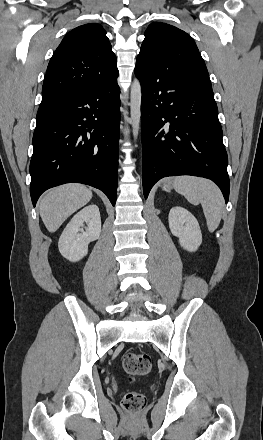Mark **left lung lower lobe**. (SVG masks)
I'll use <instances>...</instances> for the list:
<instances>
[{"label": "left lung lower lobe", "instance_id": "left-lung-lower-lobe-1", "mask_svg": "<svg viewBox=\"0 0 263 440\" xmlns=\"http://www.w3.org/2000/svg\"><path fill=\"white\" fill-rule=\"evenodd\" d=\"M142 87L143 192L161 178L211 179L229 199L228 157L211 88L172 69L135 67Z\"/></svg>", "mask_w": 263, "mask_h": 440}]
</instances>
